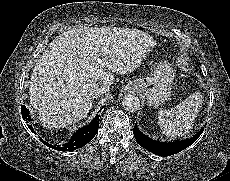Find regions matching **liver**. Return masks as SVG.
Listing matches in <instances>:
<instances>
[{"mask_svg":"<svg viewBox=\"0 0 230 181\" xmlns=\"http://www.w3.org/2000/svg\"><path fill=\"white\" fill-rule=\"evenodd\" d=\"M154 45L137 30L79 27L60 34L31 75L29 99L38 120L48 128L79 122L92 107L90 89L110 87L115 73L134 71Z\"/></svg>","mask_w":230,"mask_h":181,"instance_id":"1","label":"liver"}]
</instances>
